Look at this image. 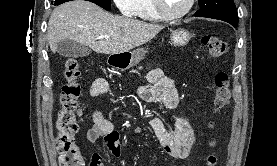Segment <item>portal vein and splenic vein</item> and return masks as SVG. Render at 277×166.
Wrapping results in <instances>:
<instances>
[{
	"mask_svg": "<svg viewBox=\"0 0 277 166\" xmlns=\"http://www.w3.org/2000/svg\"><path fill=\"white\" fill-rule=\"evenodd\" d=\"M98 38L99 39H109L110 37L109 36H99Z\"/></svg>",
	"mask_w": 277,
	"mask_h": 166,
	"instance_id": "portal-vein-and-splenic-vein-1",
	"label": "portal vein and splenic vein"
}]
</instances>
